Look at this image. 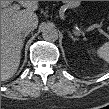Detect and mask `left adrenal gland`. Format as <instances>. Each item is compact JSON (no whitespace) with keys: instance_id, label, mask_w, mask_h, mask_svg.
<instances>
[{"instance_id":"a2214340","label":"left adrenal gland","mask_w":109,"mask_h":109,"mask_svg":"<svg viewBox=\"0 0 109 109\" xmlns=\"http://www.w3.org/2000/svg\"><path fill=\"white\" fill-rule=\"evenodd\" d=\"M69 34H70V37L75 41V40H77V38H75V37H73V35L69 32Z\"/></svg>"}]
</instances>
